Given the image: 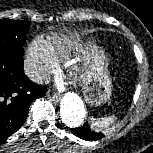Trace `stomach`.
<instances>
[{
    "label": "stomach",
    "mask_w": 153,
    "mask_h": 153,
    "mask_svg": "<svg viewBox=\"0 0 153 153\" xmlns=\"http://www.w3.org/2000/svg\"><path fill=\"white\" fill-rule=\"evenodd\" d=\"M106 55L96 45L86 51L87 70L83 77V90L86 101L91 105L107 102L112 94V82L106 66Z\"/></svg>",
    "instance_id": "stomach-1"
}]
</instances>
